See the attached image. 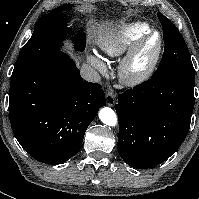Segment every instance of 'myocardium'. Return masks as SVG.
<instances>
[{"label":"myocardium","mask_w":199,"mask_h":199,"mask_svg":"<svg viewBox=\"0 0 199 199\" xmlns=\"http://www.w3.org/2000/svg\"><path fill=\"white\" fill-rule=\"evenodd\" d=\"M154 35L158 36L156 49L148 62L142 66H137L138 56L145 43ZM163 51V37L160 32L151 30L138 39L129 49L120 65V76L128 84L135 85L149 79L154 73Z\"/></svg>","instance_id":"1"}]
</instances>
